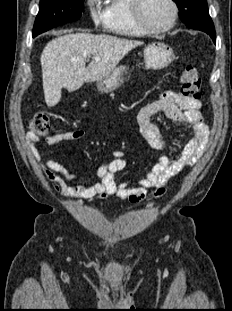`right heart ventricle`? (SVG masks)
<instances>
[{
  "instance_id": "obj_1",
  "label": "right heart ventricle",
  "mask_w": 232,
  "mask_h": 311,
  "mask_svg": "<svg viewBox=\"0 0 232 311\" xmlns=\"http://www.w3.org/2000/svg\"><path fill=\"white\" fill-rule=\"evenodd\" d=\"M104 14V26L114 34L126 37H140L146 34L133 19L131 0H109Z\"/></svg>"
}]
</instances>
